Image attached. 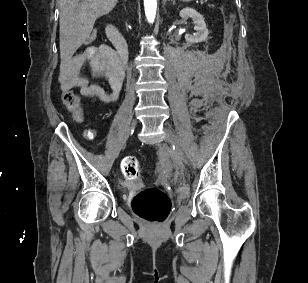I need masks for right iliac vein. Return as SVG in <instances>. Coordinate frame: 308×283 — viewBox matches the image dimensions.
<instances>
[{
	"instance_id": "1",
	"label": "right iliac vein",
	"mask_w": 308,
	"mask_h": 283,
	"mask_svg": "<svg viewBox=\"0 0 308 283\" xmlns=\"http://www.w3.org/2000/svg\"><path fill=\"white\" fill-rule=\"evenodd\" d=\"M135 124H136V121H135V120H133V121H132V124L130 125V127H129V129H128V132H127V134H126V136H125V139H124L123 144H124V143H125V141L127 140V137H128V135H129L130 131L132 130V128H134V127H135Z\"/></svg>"
}]
</instances>
